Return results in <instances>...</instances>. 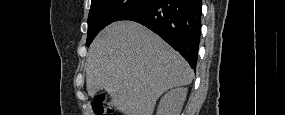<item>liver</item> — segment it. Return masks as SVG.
Here are the masks:
<instances>
[{
	"label": "liver",
	"mask_w": 285,
	"mask_h": 115,
	"mask_svg": "<svg viewBox=\"0 0 285 115\" xmlns=\"http://www.w3.org/2000/svg\"><path fill=\"white\" fill-rule=\"evenodd\" d=\"M88 94L104 89L124 115H152L167 90L188 85L194 72L157 34L133 21H117L92 42L85 65Z\"/></svg>",
	"instance_id": "6515ba94"
}]
</instances>
